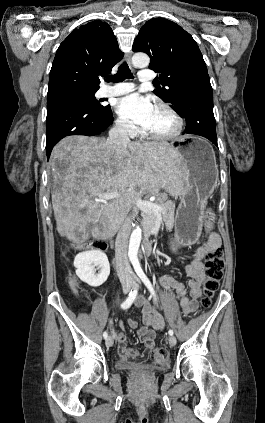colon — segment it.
Returning a JSON list of instances; mask_svg holds the SVG:
<instances>
[{"mask_svg":"<svg viewBox=\"0 0 265 423\" xmlns=\"http://www.w3.org/2000/svg\"><path fill=\"white\" fill-rule=\"evenodd\" d=\"M214 213L207 211L205 215V222L207 229H211L214 224ZM88 248L104 250L106 244L104 242H94L86 244ZM225 269V262L220 248H211L206 252L205 256V274L206 280L203 286V297L201 298V305L203 308H208L211 305V298L219 287V282L223 277ZM69 285L74 291H78V284L74 277H69ZM169 351L166 346H159L150 351V358L157 364H162L167 361Z\"/></svg>","mask_w":265,"mask_h":423,"instance_id":"colon-1","label":"colon"}]
</instances>
